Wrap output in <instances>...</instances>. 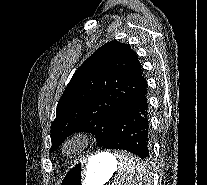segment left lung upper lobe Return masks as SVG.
Masks as SVG:
<instances>
[{
	"mask_svg": "<svg viewBox=\"0 0 207 185\" xmlns=\"http://www.w3.org/2000/svg\"><path fill=\"white\" fill-rule=\"evenodd\" d=\"M146 86L128 45L118 41L102 45L74 73L58 102L50 152L76 132L94 134L102 148L119 112Z\"/></svg>",
	"mask_w": 207,
	"mask_h": 185,
	"instance_id": "left-lung-upper-lobe-1",
	"label": "left lung upper lobe"
}]
</instances>
